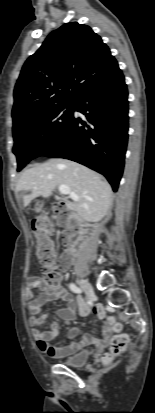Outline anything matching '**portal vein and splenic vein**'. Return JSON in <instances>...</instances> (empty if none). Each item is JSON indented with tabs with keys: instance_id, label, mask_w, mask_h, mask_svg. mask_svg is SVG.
Segmentation results:
<instances>
[{
	"instance_id": "obj_1",
	"label": "portal vein and splenic vein",
	"mask_w": 155,
	"mask_h": 413,
	"mask_svg": "<svg viewBox=\"0 0 155 413\" xmlns=\"http://www.w3.org/2000/svg\"><path fill=\"white\" fill-rule=\"evenodd\" d=\"M59 191L63 195H69L73 200H77L78 196L71 191V189L67 185H60Z\"/></svg>"
}]
</instances>
